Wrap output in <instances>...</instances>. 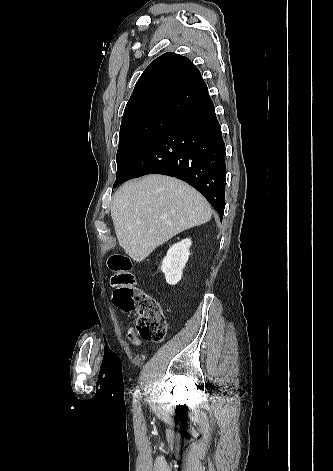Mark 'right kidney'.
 Wrapping results in <instances>:
<instances>
[{
  "label": "right kidney",
  "instance_id": "right-kidney-1",
  "mask_svg": "<svg viewBox=\"0 0 333 471\" xmlns=\"http://www.w3.org/2000/svg\"><path fill=\"white\" fill-rule=\"evenodd\" d=\"M192 244L191 239H184L171 246L162 261L161 270L169 285H176L182 278L183 269L188 261Z\"/></svg>",
  "mask_w": 333,
  "mask_h": 471
}]
</instances>
